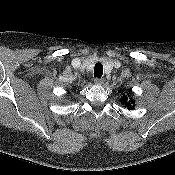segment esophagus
Segmentation results:
<instances>
[{
	"instance_id": "obj_1",
	"label": "esophagus",
	"mask_w": 175,
	"mask_h": 175,
	"mask_svg": "<svg viewBox=\"0 0 175 175\" xmlns=\"http://www.w3.org/2000/svg\"><path fill=\"white\" fill-rule=\"evenodd\" d=\"M94 82H95V84H97V85H101V84L104 83V79H103V78H95V79H94Z\"/></svg>"
}]
</instances>
